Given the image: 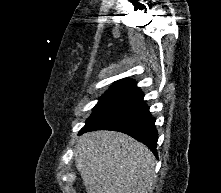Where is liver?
Listing matches in <instances>:
<instances>
[{"instance_id": "liver-1", "label": "liver", "mask_w": 221, "mask_h": 193, "mask_svg": "<svg viewBox=\"0 0 221 193\" xmlns=\"http://www.w3.org/2000/svg\"><path fill=\"white\" fill-rule=\"evenodd\" d=\"M87 193H148L155 157L141 142L115 131L83 134L74 151Z\"/></svg>"}]
</instances>
